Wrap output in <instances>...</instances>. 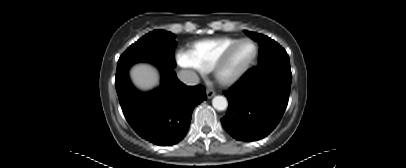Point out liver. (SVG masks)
<instances>
[{"label": "liver", "mask_w": 406, "mask_h": 168, "mask_svg": "<svg viewBox=\"0 0 406 168\" xmlns=\"http://www.w3.org/2000/svg\"><path fill=\"white\" fill-rule=\"evenodd\" d=\"M130 76L140 90H151L159 84L158 71L149 64H137L132 67Z\"/></svg>", "instance_id": "6515ba94"}]
</instances>
